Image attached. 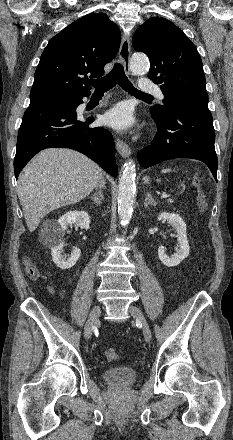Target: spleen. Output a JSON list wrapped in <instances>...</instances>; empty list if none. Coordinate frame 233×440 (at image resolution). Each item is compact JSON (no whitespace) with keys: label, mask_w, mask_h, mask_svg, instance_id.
Masks as SVG:
<instances>
[{"label":"spleen","mask_w":233,"mask_h":440,"mask_svg":"<svg viewBox=\"0 0 233 440\" xmlns=\"http://www.w3.org/2000/svg\"><path fill=\"white\" fill-rule=\"evenodd\" d=\"M170 171H171V169H167V168H166V169H163L161 172H162V173H168V172H170Z\"/></svg>","instance_id":"3e777b00"}]
</instances>
